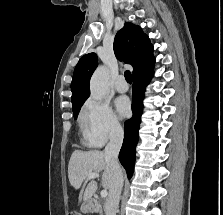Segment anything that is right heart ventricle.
<instances>
[{"label": "right heart ventricle", "mask_w": 223, "mask_h": 215, "mask_svg": "<svg viewBox=\"0 0 223 215\" xmlns=\"http://www.w3.org/2000/svg\"><path fill=\"white\" fill-rule=\"evenodd\" d=\"M81 131H82V135H83V138L86 142L88 143H92V141L89 139V137L87 136L86 132L84 131V129H82L81 127Z\"/></svg>", "instance_id": "obj_1"}]
</instances>
